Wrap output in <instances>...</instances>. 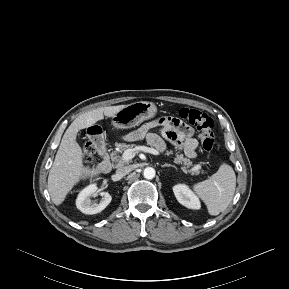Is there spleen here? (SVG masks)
Here are the masks:
<instances>
[{"label": "spleen", "instance_id": "obj_1", "mask_svg": "<svg viewBox=\"0 0 289 289\" xmlns=\"http://www.w3.org/2000/svg\"><path fill=\"white\" fill-rule=\"evenodd\" d=\"M235 187V172L226 163H222L209 179L193 185L195 193L206 204L208 213L213 216L219 215L229 206Z\"/></svg>", "mask_w": 289, "mask_h": 289}]
</instances>
